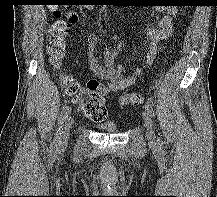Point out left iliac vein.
I'll use <instances>...</instances> for the list:
<instances>
[{"instance_id":"4c4485c4","label":"left iliac vein","mask_w":217,"mask_h":197,"mask_svg":"<svg viewBox=\"0 0 217 197\" xmlns=\"http://www.w3.org/2000/svg\"><path fill=\"white\" fill-rule=\"evenodd\" d=\"M143 119L146 127V135H147L148 142L150 144H155L156 140H155V133L153 129V123H152L151 116L147 110L143 112Z\"/></svg>"}]
</instances>
